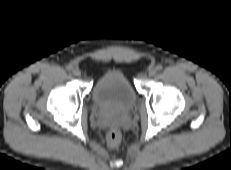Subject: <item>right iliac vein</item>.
<instances>
[{
	"instance_id": "1",
	"label": "right iliac vein",
	"mask_w": 231,
	"mask_h": 170,
	"mask_svg": "<svg viewBox=\"0 0 231 170\" xmlns=\"http://www.w3.org/2000/svg\"><path fill=\"white\" fill-rule=\"evenodd\" d=\"M73 74L75 76H80L81 75V71L79 68L75 67L73 70H72Z\"/></svg>"
}]
</instances>
